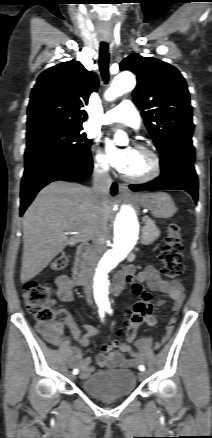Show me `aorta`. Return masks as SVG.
I'll return each mask as SVG.
<instances>
[{"label": "aorta", "mask_w": 212, "mask_h": 438, "mask_svg": "<svg viewBox=\"0 0 212 438\" xmlns=\"http://www.w3.org/2000/svg\"><path fill=\"white\" fill-rule=\"evenodd\" d=\"M135 85L133 74L122 72L114 78L105 93V98L113 100L132 90ZM139 233L140 226L134 208L131 205H123L115 216L113 248L104 254L90 281L99 305H109V273L129 255L139 240Z\"/></svg>", "instance_id": "762f6f07"}]
</instances>
